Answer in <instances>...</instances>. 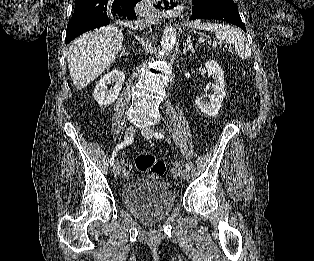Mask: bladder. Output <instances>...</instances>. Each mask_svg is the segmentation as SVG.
I'll use <instances>...</instances> for the list:
<instances>
[{
    "label": "bladder",
    "mask_w": 314,
    "mask_h": 261,
    "mask_svg": "<svg viewBox=\"0 0 314 261\" xmlns=\"http://www.w3.org/2000/svg\"><path fill=\"white\" fill-rule=\"evenodd\" d=\"M123 206L146 223L160 222L176 204L173 185L157 180H131L121 191Z\"/></svg>",
    "instance_id": "31cf9c89"
}]
</instances>
